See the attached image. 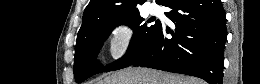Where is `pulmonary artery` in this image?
Returning a JSON list of instances; mask_svg holds the SVG:
<instances>
[{"label": "pulmonary artery", "instance_id": "obj_1", "mask_svg": "<svg viewBox=\"0 0 260 84\" xmlns=\"http://www.w3.org/2000/svg\"><path fill=\"white\" fill-rule=\"evenodd\" d=\"M148 9H149V12H150L151 14H156V13L159 12V7H158L156 4H154V3H151V4L148 6Z\"/></svg>", "mask_w": 260, "mask_h": 84}]
</instances>
